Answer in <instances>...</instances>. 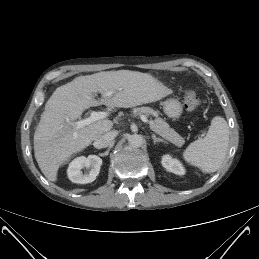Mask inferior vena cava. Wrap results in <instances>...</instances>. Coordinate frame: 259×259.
<instances>
[{"instance_id":"1","label":"inferior vena cava","mask_w":259,"mask_h":259,"mask_svg":"<svg viewBox=\"0 0 259 259\" xmlns=\"http://www.w3.org/2000/svg\"><path fill=\"white\" fill-rule=\"evenodd\" d=\"M117 133L115 131H109L103 134L101 137L96 139L93 143L96 148H105L107 147L116 137Z\"/></svg>"}]
</instances>
